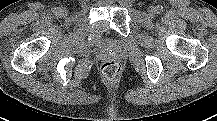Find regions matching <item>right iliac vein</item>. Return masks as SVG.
Instances as JSON below:
<instances>
[{"label": "right iliac vein", "instance_id": "right-iliac-vein-1", "mask_svg": "<svg viewBox=\"0 0 217 121\" xmlns=\"http://www.w3.org/2000/svg\"><path fill=\"white\" fill-rule=\"evenodd\" d=\"M59 15L66 17L68 15V10L66 8L60 9Z\"/></svg>", "mask_w": 217, "mask_h": 121}]
</instances>
